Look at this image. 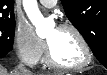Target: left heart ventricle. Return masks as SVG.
I'll list each match as a JSON object with an SVG mask.
<instances>
[{"mask_svg": "<svg viewBox=\"0 0 107 75\" xmlns=\"http://www.w3.org/2000/svg\"><path fill=\"white\" fill-rule=\"evenodd\" d=\"M54 59L62 65H77L85 59L82 45L69 30L52 29L47 35Z\"/></svg>", "mask_w": 107, "mask_h": 75, "instance_id": "b2bd125f", "label": "left heart ventricle"}]
</instances>
